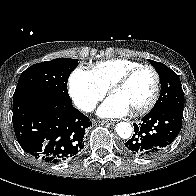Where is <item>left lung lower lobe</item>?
Returning a JSON list of instances; mask_svg holds the SVG:
<instances>
[{"label": "left lung lower lobe", "instance_id": "0a47b994", "mask_svg": "<svg viewBox=\"0 0 196 196\" xmlns=\"http://www.w3.org/2000/svg\"><path fill=\"white\" fill-rule=\"evenodd\" d=\"M183 110L164 107L151 110L138 125L135 134L124 145L127 154L151 157L166 149L178 136L182 126Z\"/></svg>", "mask_w": 196, "mask_h": 196}]
</instances>
